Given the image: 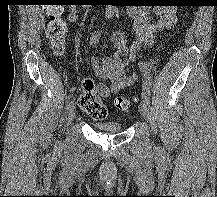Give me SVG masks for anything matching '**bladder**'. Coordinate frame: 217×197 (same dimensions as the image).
<instances>
[{
    "mask_svg": "<svg viewBox=\"0 0 217 197\" xmlns=\"http://www.w3.org/2000/svg\"><path fill=\"white\" fill-rule=\"evenodd\" d=\"M93 126L99 131L110 134H117L122 131V125L117 121H98L94 122Z\"/></svg>",
    "mask_w": 217,
    "mask_h": 197,
    "instance_id": "31cf9c89",
    "label": "bladder"
}]
</instances>
